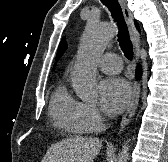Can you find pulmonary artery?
I'll return each mask as SVG.
<instances>
[{"mask_svg":"<svg viewBox=\"0 0 168 162\" xmlns=\"http://www.w3.org/2000/svg\"><path fill=\"white\" fill-rule=\"evenodd\" d=\"M98 67L107 74H117L122 69L121 59L117 54L105 53L98 59Z\"/></svg>","mask_w":168,"mask_h":162,"instance_id":"1","label":"pulmonary artery"}]
</instances>
